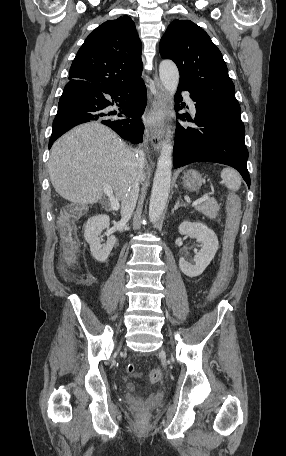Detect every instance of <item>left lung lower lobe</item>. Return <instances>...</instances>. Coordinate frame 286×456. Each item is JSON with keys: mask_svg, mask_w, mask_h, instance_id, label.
Returning a JSON list of instances; mask_svg holds the SVG:
<instances>
[{"mask_svg": "<svg viewBox=\"0 0 286 456\" xmlns=\"http://www.w3.org/2000/svg\"><path fill=\"white\" fill-rule=\"evenodd\" d=\"M182 90L190 92V97L195 102L196 116L194 121L189 115L178 114V117L193 122L196 127H183L176 123L174 167L203 161L226 164L238 170L250 187L248 150L244 143L245 127L241 121V110L193 94L183 85L178 86L176 93L178 103L182 100ZM180 109L176 105V110Z\"/></svg>", "mask_w": 286, "mask_h": 456, "instance_id": "obj_1", "label": "left lung lower lobe"}]
</instances>
